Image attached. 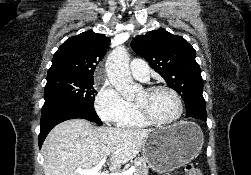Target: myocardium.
I'll list each match as a JSON object with an SVG mask.
<instances>
[{"label":"myocardium","instance_id":"myocardium-1","mask_svg":"<svg viewBox=\"0 0 251 175\" xmlns=\"http://www.w3.org/2000/svg\"><path fill=\"white\" fill-rule=\"evenodd\" d=\"M146 90H148V91L167 90V91L172 92L178 101V104L180 107V113H179L178 118L175 121L162 122V121L157 120L150 113L144 112L136 107V110H137V113L139 114V116H141L143 119H145L151 125L158 126V127H165V128L177 126L184 121L185 115H186L185 103H184V100H183L181 93L177 89H175L174 87H171L169 85L164 84V85H156V86L148 87Z\"/></svg>","mask_w":251,"mask_h":175}]
</instances>
